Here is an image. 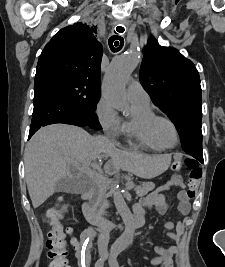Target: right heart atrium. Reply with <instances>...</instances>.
Listing matches in <instances>:
<instances>
[{"instance_id": "obj_1", "label": "right heart atrium", "mask_w": 225, "mask_h": 267, "mask_svg": "<svg viewBox=\"0 0 225 267\" xmlns=\"http://www.w3.org/2000/svg\"><path fill=\"white\" fill-rule=\"evenodd\" d=\"M98 120L103 129L110 134H117L121 129V118L114 104L106 97H102L96 108Z\"/></svg>"}]
</instances>
